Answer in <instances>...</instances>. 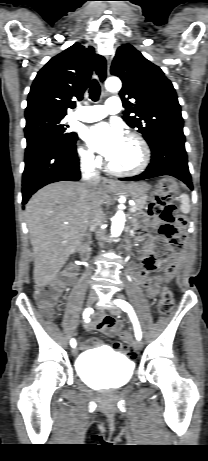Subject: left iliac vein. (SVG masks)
I'll list each match as a JSON object with an SVG mask.
<instances>
[{
    "mask_svg": "<svg viewBox=\"0 0 208 461\" xmlns=\"http://www.w3.org/2000/svg\"><path fill=\"white\" fill-rule=\"evenodd\" d=\"M109 311L113 314V315H119L121 313V310L115 306V305H112L109 307ZM136 348L138 350H141L142 347H143V342L141 340H138L136 341V344H135Z\"/></svg>",
    "mask_w": 208,
    "mask_h": 461,
    "instance_id": "left-iliac-vein-1",
    "label": "left iliac vein"
}]
</instances>
